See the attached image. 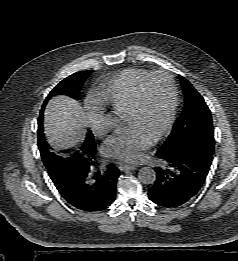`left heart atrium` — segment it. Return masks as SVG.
<instances>
[{
	"instance_id": "left-heart-atrium-1",
	"label": "left heart atrium",
	"mask_w": 238,
	"mask_h": 261,
	"mask_svg": "<svg viewBox=\"0 0 238 261\" xmlns=\"http://www.w3.org/2000/svg\"><path fill=\"white\" fill-rule=\"evenodd\" d=\"M153 137L140 127L132 126L111 136L105 149L113 158L136 163L142 160L144 151L152 145Z\"/></svg>"
}]
</instances>
